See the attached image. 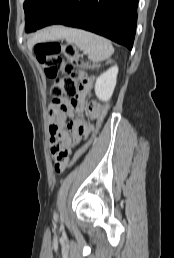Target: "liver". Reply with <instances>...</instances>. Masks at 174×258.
<instances>
[{
  "instance_id": "obj_1",
  "label": "liver",
  "mask_w": 174,
  "mask_h": 258,
  "mask_svg": "<svg viewBox=\"0 0 174 258\" xmlns=\"http://www.w3.org/2000/svg\"><path fill=\"white\" fill-rule=\"evenodd\" d=\"M61 29L62 28L57 27V28H51L43 32H40L29 43L30 45H32L36 42L59 38V33Z\"/></svg>"
}]
</instances>
